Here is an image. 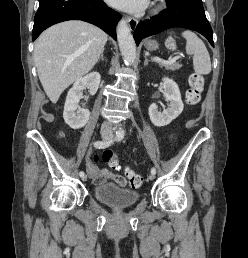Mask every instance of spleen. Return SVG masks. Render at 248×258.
<instances>
[{
	"mask_svg": "<svg viewBox=\"0 0 248 258\" xmlns=\"http://www.w3.org/2000/svg\"><path fill=\"white\" fill-rule=\"evenodd\" d=\"M186 39V52L193 55L194 71L200 75L211 72V60L208 50L203 41L192 31L186 30L182 33Z\"/></svg>",
	"mask_w": 248,
	"mask_h": 258,
	"instance_id": "obj_1",
	"label": "spleen"
}]
</instances>
